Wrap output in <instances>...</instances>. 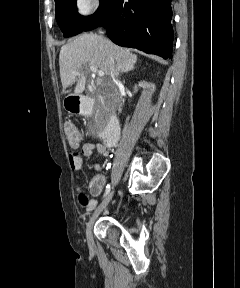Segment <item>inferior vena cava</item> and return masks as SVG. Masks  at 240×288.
Returning <instances> with one entry per match:
<instances>
[{
    "label": "inferior vena cava",
    "instance_id": "inferior-vena-cava-1",
    "mask_svg": "<svg viewBox=\"0 0 240 288\" xmlns=\"http://www.w3.org/2000/svg\"><path fill=\"white\" fill-rule=\"evenodd\" d=\"M109 66H110V76L114 85L119 87L120 83L118 81L117 67L115 68L114 62L112 58H109ZM122 104V97L119 98V106ZM115 120H111L110 123H113Z\"/></svg>",
    "mask_w": 240,
    "mask_h": 288
}]
</instances>
